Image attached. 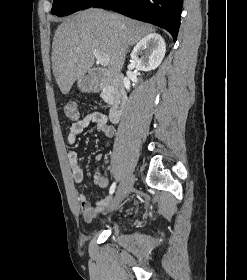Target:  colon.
<instances>
[{
    "label": "colon",
    "mask_w": 247,
    "mask_h": 280,
    "mask_svg": "<svg viewBox=\"0 0 247 280\" xmlns=\"http://www.w3.org/2000/svg\"><path fill=\"white\" fill-rule=\"evenodd\" d=\"M64 115L68 119L78 118L77 104L74 101H69L64 106Z\"/></svg>",
    "instance_id": "1"
}]
</instances>
